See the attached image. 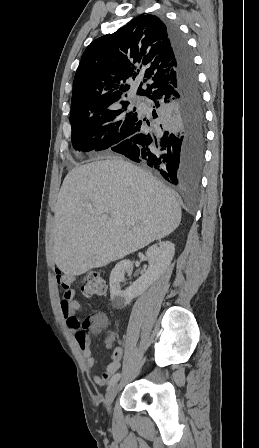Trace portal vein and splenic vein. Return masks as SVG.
I'll list each match as a JSON object with an SVG mask.
<instances>
[{"mask_svg": "<svg viewBox=\"0 0 259 448\" xmlns=\"http://www.w3.org/2000/svg\"><path fill=\"white\" fill-rule=\"evenodd\" d=\"M91 214H94V212H91ZM101 218L102 220H108V214H102Z\"/></svg>", "mask_w": 259, "mask_h": 448, "instance_id": "1", "label": "portal vein and splenic vein"}]
</instances>
